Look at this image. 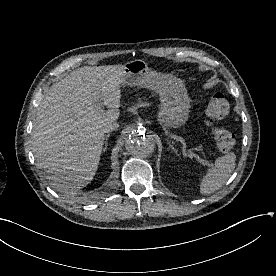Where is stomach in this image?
Returning a JSON list of instances; mask_svg holds the SVG:
<instances>
[{"instance_id":"obj_1","label":"stomach","mask_w":276,"mask_h":276,"mask_svg":"<svg viewBox=\"0 0 276 276\" xmlns=\"http://www.w3.org/2000/svg\"><path fill=\"white\" fill-rule=\"evenodd\" d=\"M122 85L154 90L160 96L158 121L165 127L178 128L189 115V97L182 80L172 74L156 72L143 60L124 65Z\"/></svg>"}]
</instances>
